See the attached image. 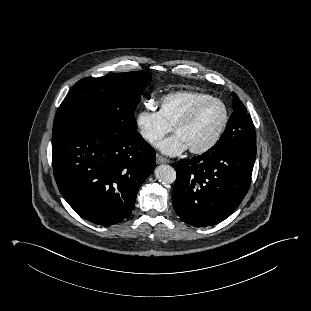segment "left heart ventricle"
Returning <instances> with one entry per match:
<instances>
[{
  "label": "left heart ventricle",
  "instance_id": "1",
  "mask_svg": "<svg viewBox=\"0 0 311 311\" xmlns=\"http://www.w3.org/2000/svg\"><path fill=\"white\" fill-rule=\"evenodd\" d=\"M223 118V108L217 102H209L199 109L194 118L175 133L180 135L188 148L205 145L215 134Z\"/></svg>",
  "mask_w": 311,
  "mask_h": 311
}]
</instances>
